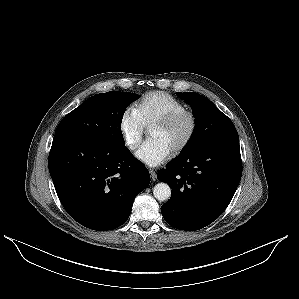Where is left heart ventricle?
Instances as JSON below:
<instances>
[{"instance_id":"left-heart-ventricle-1","label":"left heart ventricle","mask_w":299,"mask_h":299,"mask_svg":"<svg viewBox=\"0 0 299 299\" xmlns=\"http://www.w3.org/2000/svg\"><path fill=\"white\" fill-rule=\"evenodd\" d=\"M189 130L188 120H183L177 125L169 128H152L150 130V139L162 141L172 152L186 137Z\"/></svg>"}]
</instances>
